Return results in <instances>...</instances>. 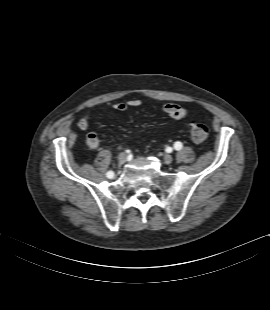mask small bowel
<instances>
[{"instance_id": "obj_1", "label": "small bowel", "mask_w": 270, "mask_h": 310, "mask_svg": "<svg viewBox=\"0 0 270 310\" xmlns=\"http://www.w3.org/2000/svg\"><path fill=\"white\" fill-rule=\"evenodd\" d=\"M141 105V101L139 99H130L126 102H118L114 104V109L117 111H125L127 110L128 107H139ZM163 111L170 116L173 119H181L187 115V109L184 107H181L176 104H166L163 107ZM77 126L81 130H87L90 126V116L85 115L81 117L78 122ZM87 144L90 148L95 149L99 146L100 144V139L99 136L96 132H90L87 136Z\"/></svg>"}]
</instances>
